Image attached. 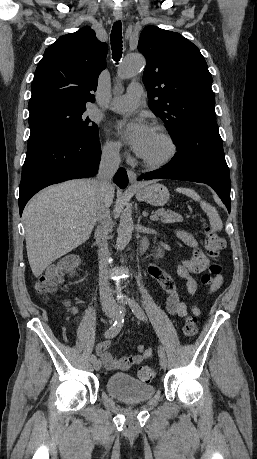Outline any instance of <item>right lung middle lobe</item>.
I'll return each instance as SVG.
<instances>
[{
  "instance_id": "dd1d6c3e",
  "label": "right lung middle lobe",
  "mask_w": 257,
  "mask_h": 459,
  "mask_svg": "<svg viewBox=\"0 0 257 459\" xmlns=\"http://www.w3.org/2000/svg\"><path fill=\"white\" fill-rule=\"evenodd\" d=\"M86 107L49 106L30 112V130L50 129L73 137L98 136L97 125L84 115Z\"/></svg>"
}]
</instances>
